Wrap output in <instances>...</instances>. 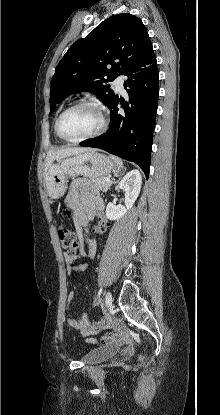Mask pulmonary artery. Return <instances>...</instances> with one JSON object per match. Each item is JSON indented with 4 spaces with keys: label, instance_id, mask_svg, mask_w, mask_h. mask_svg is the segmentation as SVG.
Listing matches in <instances>:
<instances>
[{
    "label": "pulmonary artery",
    "instance_id": "1",
    "mask_svg": "<svg viewBox=\"0 0 220 415\" xmlns=\"http://www.w3.org/2000/svg\"><path fill=\"white\" fill-rule=\"evenodd\" d=\"M123 84H124V76L119 75V76H118V77L114 80V85H115V87H116V89H117L118 91H123V90H124Z\"/></svg>",
    "mask_w": 220,
    "mask_h": 415
}]
</instances>
